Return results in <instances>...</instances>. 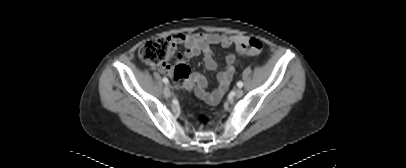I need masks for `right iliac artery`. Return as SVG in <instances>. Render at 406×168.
Masks as SVG:
<instances>
[{
	"instance_id": "82829eb1",
	"label": "right iliac artery",
	"mask_w": 406,
	"mask_h": 168,
	"mask_svg": "<svg viewBox=\"0 0 406 168\" xmlns=\"http://www.w3.org/2000/svg\"><path fill=\"white\" fill-rule=\"evenodd\" d=\"M163 82H164L165 84H168V83H169V81H168V79H167L166 77L163 78Z\"/></svg>"
}]
</instances>
